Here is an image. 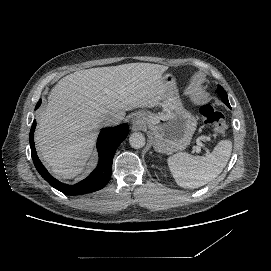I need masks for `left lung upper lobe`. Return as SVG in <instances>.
Segmentation results:
<instances>
[{"instance_id":"left-lung-upper-lobe-1","label":"left lung upper lobe","mask_w":271,"mask_h":271,"mask_svg":"<svg viewBox=\"0 0 271 271\" xmlns=\"http://www.w3.org/2000/svg\"><path fill=\"white\" fill-rule=\"evenodd\" d=\"M218 94L221 97V99L223 100V102L230 108L227 93L225 92V90L221 86H218Z\"/></svg>"}]
</instances>
